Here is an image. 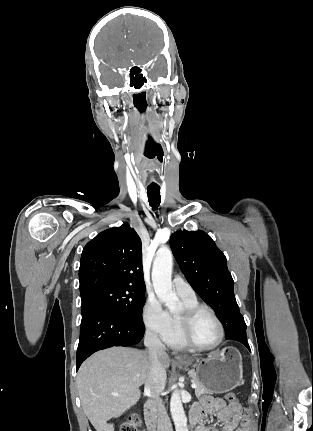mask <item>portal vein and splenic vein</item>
Masks as SVG:
<instances>
[{"instance_id": "portal-vein-and-splenic-vein-1", "label": "portal vein and splenic vein", "mask_w": 313, "mask_h": 431, "mask_svg": "<svg viewBox=\"0 0 313 431\" xmlns=\"http://www.w3.org/2000/svg\"><path fill=\"white\" fill-rule=\"evenodd\" d=\"M191 387L195 389L197 387L196 383L193 382Z\"/></svg>"}]
</instances>
